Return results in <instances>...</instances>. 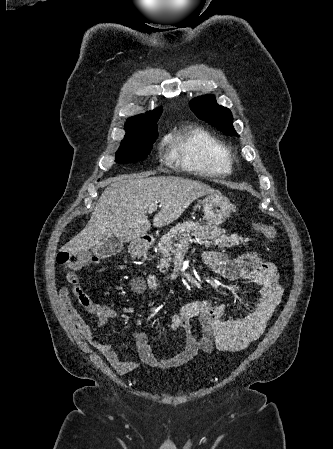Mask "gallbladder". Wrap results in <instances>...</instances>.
Listing matches in <instances>:
<instances>
[{
    "label": "gallbladder",
    "mask_w": 333,
    "mask_h": 449,
    "mask_svg": "<svg viewBox=\"0 0 333 449\" xmlns=\"http://www.w3.org/2000/svg\"><path fill=\"white\" fill-rule=\"evenodd\" d=\"M123 249V243L116 237H110L102 241V243L94 247L93 253L100 258L111 257Z\"/></svg>",
    "instance_id": "gallbladder-1"
}]
</instances>
